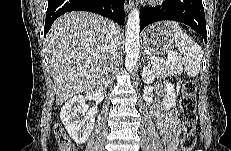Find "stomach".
<instances>
[{"label": "stomach", "instance_id": "0dacf381", "mask_svg": "<svg viewBox=\"0 0 231 151\" xmlns=\"http://www.w3.org/2000/svg\"><path fill=\"white\" fill-rule=\"evenodd\" d=\"M178 31L180 28L175 22L152 24L143 33V47L157 55L172 53L175 48V34Z\"/></svg>", "mask_w": 231, "mask_h": 151}]
</instances>
